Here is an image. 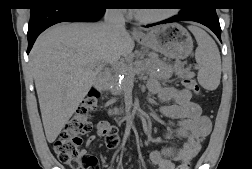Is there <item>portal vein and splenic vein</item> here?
<instances>
[{
	"mask_svg": "<svg viewBox=\"0 0 252 169\" xmlns=\"http://www.w3.org/2000/svg\"><path fill=\"white\" fill-rule=\"evenodd\" d=\"M112 66L114 67L115 70L119 71L122 74H127L129 73L130 75H134V71L132 68L128 67L126 64L121 63V62H116L113 63Z\"/></svg>",
	"mask_w": 252,
	"mask_h": 169,
	"instance_id": "18ae733b",
	"label": "portal vein and splenic vein"
}]
</instances>
